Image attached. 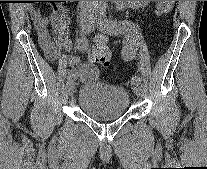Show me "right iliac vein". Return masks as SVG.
I'll list each match as a JSON object with an SVG mask.
<instances>
[{
  "mask_svg": "<svg viewBox=\"0 0 207 169\" xmlns=\"http://www.w3.org/2000/svg\"><path fill=\"white\" fill-rule=\"evenodd\" d=\"M91 25H92V20L90 18L88 17L82 18L81 26L83 30H89ZM67 90H68L69 95H72L74 93V90H75L74 80H69L67 82Z\"/></svg>",
  "mask_w": 207,
  "mask_h": 169,
  "instance_id": "obj_1",
  "label": "right iliac vein"
}]
</instances>
